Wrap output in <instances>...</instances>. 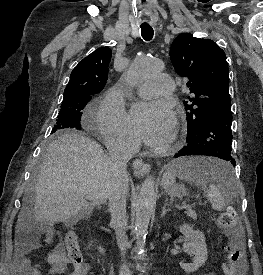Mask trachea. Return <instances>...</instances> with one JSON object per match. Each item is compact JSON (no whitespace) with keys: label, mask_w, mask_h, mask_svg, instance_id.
Instances as JSON below:
<instances>
[{"label":"trachea","mask_w":263,"mask_h":275,"mask_svg":"<svg viewBox=\"0 0 263 275\" xmlns=\"http://www.w3.org/2000/svg\"><path fill=\"white\" fill-rule=\"evenodd\" d=\"M141 35H142L144 40L150 41L153 38L154 30L150 26L141 27Z\"/></svg>","instance_id":"obj_1"}]
</instances>
